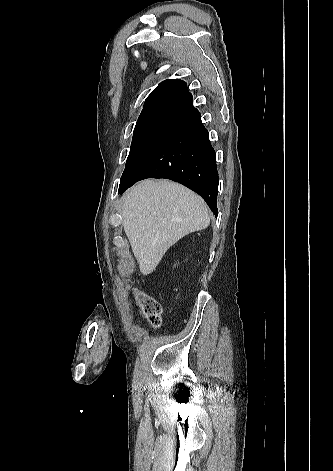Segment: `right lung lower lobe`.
Segmentation results:
<instances>
[{"instance_id": "obj_1", "label": "right lung lower lobe", "mask_w": 333, "mask_h": 471, "mask_svg": "<svg viewBox=\"0 0 333 471\" xmlns=\"http://www.w3.org/2000/svg\"><path fill=\"white\" fill-rule=\"evenodd\" d=\"M146 178H167L198 193L218 215L216 154L196 108L159 134L123 172L118 193Z\"/></svg>"}]
</instances>
